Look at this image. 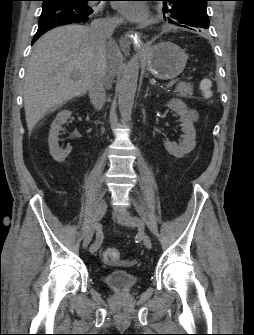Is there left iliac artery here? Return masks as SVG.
<instances>
[{
    "label": "left iliac artery",
    "mask_w": 254,
    "mask_h": 335,
    "mask_svg": "<svg viewBox=\"0 0 254 335\" xmlns=\"http://www.w3.org/2000/svg\"><path fill=\"white\" fill-rule=\"evenodd\" d=\"M131 220L138 226L144 227V223L138 217H132Z\"/></svg>",
    "instance_id": "obj_1"
}]
</instances>
